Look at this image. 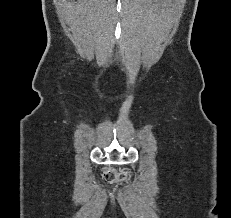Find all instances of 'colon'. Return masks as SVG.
Segmentation results:
<instances>
[{"mask_svg":"<svg viewBox=\"0 0 231 218\" xmlns=\"http://www.w3.org/2000/svg\"><path fill=\"white\" fill-rule=\"evenodd\" d=\"M127 177L126 172H119L112 168H107L103 173V178L109 183H115L124 180Z\"/></svg>","mask_w":231,"mask_h":218,"instance_id":"5ec220e1","label":"colon"}]
</instances>
